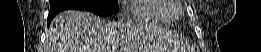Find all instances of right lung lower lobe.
<instances>
[{
    "mask_svg": "<svg viewBox=\"0 0 261 52\" xmlns=\"http://www.w3.org/2000/svg\"><path fill=\"white\" fill-rule=\"evenodd\" d=\"M62 10H50L48 18H47V24L48 26L51 23V20L54 18V16H56L59 12H61Z\"/></svg>",
    "mask_w": 261,
    "mask_h": 52,
    "instance_id": "1",
    "label": "right lung lower lobe"
}]
</instances>
